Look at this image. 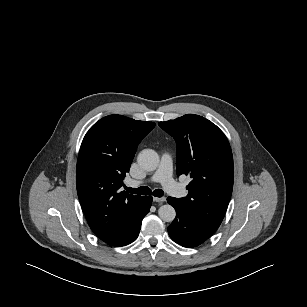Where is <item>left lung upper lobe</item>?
Instances as JSON below:
<instances>
[{
  "mask_svg": "<svg viewBox=\"0 0 307 307\" xmlns=\"http://www.w3.org/2000/svg\"><path fill=\"white\" fill-rule=\"evenodd\" d=\"M159 126L177 144L176 172L189 175L184 198H176L200 225L216 231L229 204L234 180L233 156L224 133L206 118L187 114Z\"/></svg>",
  "mask_w": 307,
  "mask_h": 307,
  "instance_id": "left-lung-upper-lobe-1",
  "label": "left lung upper lobe"
}]
</instances>
